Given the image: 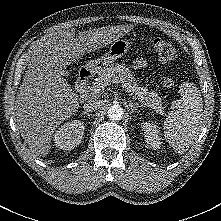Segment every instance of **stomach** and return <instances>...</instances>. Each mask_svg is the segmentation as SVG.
I'll use <instances>...</instances> for the list:
<instances>
[{
	"label": "stomach",
	"mask_w": 221,
	"mask_h": 221,
	"mask_svg": "<svg viewBox=\"0 0 221 221\" xmlns=\"http://www.w3.org/2000/svg\"><path fill=\"white\" fill-rule=\"evenodd\" d=\"M131 48V43L125 39L113 41L104 56L91 60L86 68L92 73H102L110 64L125 55Z\"/></svg>",
	"instance_id": "1"
}]
</instances>
